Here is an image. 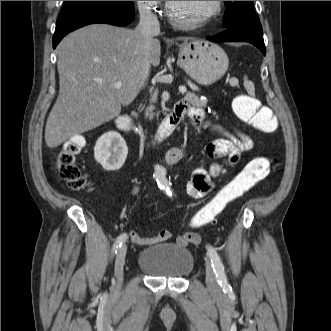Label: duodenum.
<instances>
[{"instance_id": "obj_1", "label": "duodenum", "mask_w": 331, "mask_h": 331, "mask_svg": "<svg viewBox=\"0 0 331 331\" xmlns=\"http://www.w3.org/2000/svg\"><path fill=\"white\" fill-rule=\"evenodd\" d=\"M183 117L184 112L182 109L179 106H175L158 128L152 140V145L157 146L163 143L175 130ZM115 124L122 131H128L130 129V119L127 115L123 114L117 116L115 119Z\"/></svg>"}]
</instances>
